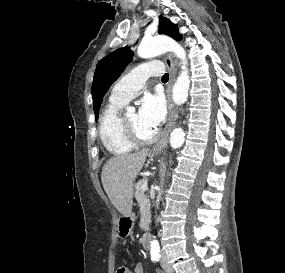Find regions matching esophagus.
<instances>
[{
  "label": "esophagus",
  "instance_id": "1",
  "mask_svg": "<svg viewBox=\"0 0 285 273\" xmlns=\"http://www.w3.org/2000/svg\"><path fill=\"white\" fill-rule=\"evenodd\" d=\"M165 64L170 73V81L167 87V100H168V109H169V120L166 126V132L164 136L154 145L152 151L154 153L162 151L168 142L169 132L175 125V121L177 119V112L175 110L174 103L171 97L172 86L176 78V68L173 62V58L171 54H167L164 58Z\"/></svg>",
  "mask_w": 285,
  "mask_h": 273
}]
</instances>
